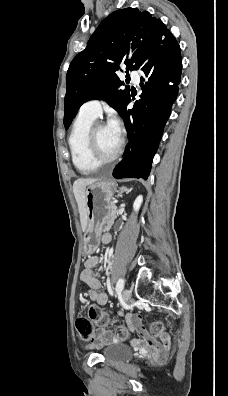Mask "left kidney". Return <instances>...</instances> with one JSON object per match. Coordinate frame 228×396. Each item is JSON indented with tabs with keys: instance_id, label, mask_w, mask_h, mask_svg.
Here are the masks:
<instances>
[{
	"instance_id": "5707ae66",
	"label": "left kidney",
	"mask_w": 228,
	"mask_h": 396,
	"mask_svg": "<svg viewBox=\"0 0 228 396\" xmlns=\"http://www.w3.org/2000/svg\"><path fill=\"white\" fill-rule=\"evenodd\" d=\"M142 202H143V197H142L141 195H139V196L135 199V201H134V203H133V209H134V211L137 212V211L140 209V206H141Z\"/></svg>"
}]
</instances>
